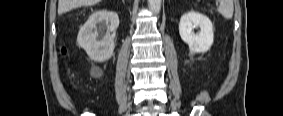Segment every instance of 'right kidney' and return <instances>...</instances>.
I'll return each instance as SVG.
<instances>
[{"instance_id":"ca27d5eb","label":"right kidney","mask_w":283,"mask_h":116,"mask_svg":"<svg viewBox=\"0 0 283 116\" xmlns=\"http://www.w3.org/2000/svg\"><path fill=\"white\" fill-rule=\"evenodd\" d=\"M119 26L117 13L98 11L89 16L80 28L77 43L96 62L110 59L115 48V31Z\"/></svg>"}]
</instances>
